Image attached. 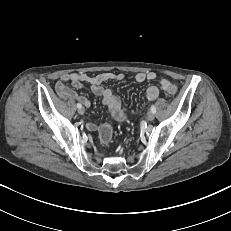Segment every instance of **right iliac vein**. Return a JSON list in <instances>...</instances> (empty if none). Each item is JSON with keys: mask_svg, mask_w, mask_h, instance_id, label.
Returning a JSON list of instances; mask_svg holds the SVG:
<instances>
[{"mask_svg": "<svg viewBox=\"0 0 231 231\" xmlns=\"http://www.w3.org/2000/svg\"><path fill=\"white\" fill-rule=\"evenodd\" d=\"M84 112H85V110H84V108H83V107L78 108V113H79L80 115H83V114H84Z\"/></svg>", "mask_w": 231, "mask_h": 231, "instance_id": "right-iliac-vein-1", "label": "right iliac vein"}]
</instances>
